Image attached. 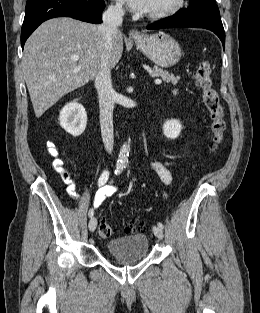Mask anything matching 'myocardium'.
Masks as SVG:
<instances>
[{"mask_svg":"<svg viewBox=\"0 0 260 313\" xmlns=\"http://www.w3.org/2000/svg\"><path fill=\"white\" fill-rule=\"evenodd\" d=\"M184 4L185 0H174L169 7L161 11L149 12L147 17L152 20H161L171 17L177 14L184 7Z\"/></svg>","mask_w":260,"mask_h":313,"instance_id":"myocardium-1","label":"myocardium"}]
</instances>
